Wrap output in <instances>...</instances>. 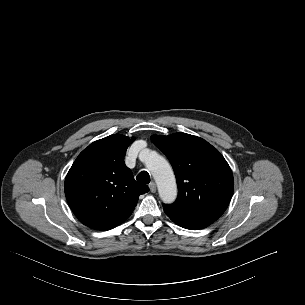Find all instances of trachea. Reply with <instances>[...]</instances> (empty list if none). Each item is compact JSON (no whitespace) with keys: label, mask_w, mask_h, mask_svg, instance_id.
<instances>
[{"label":"trachea","mask_w":305,"mask_h":305,"mask_svg":"<svg viewBox=\"0 0 305 305\" xmlns=\"http://www.w3.org/2000/svg\"><path fill=\"white\" fill-rule=\"evenodd\" d=\"M136 179L144 184H148L150 182V176L147 171H141L137 176Z\"/></svg>","instance_id":"trachea-1"}]
</instances>
